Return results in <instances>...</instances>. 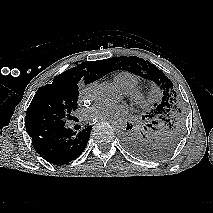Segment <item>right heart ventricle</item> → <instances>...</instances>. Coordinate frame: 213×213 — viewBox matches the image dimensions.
<instances>
[{
  "label": "right heart ventricle",
  "mask_w": 213,
  "mask_h": 213,
  "mask_svg": "<svg viewBox=\"0 0 213 213\" xmlns=\"http://www.w3.org/2000/svg\"><path fill=\"white\" fill-rule=\"evenodd\" d=\"M115 83L123 90L134 89L140 80L137 75L129 71H120L114 76Z\"/></svg>",
  "instance_id": "obj_1"
}]
</instances>
